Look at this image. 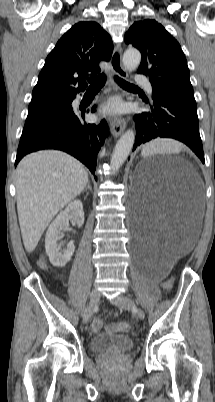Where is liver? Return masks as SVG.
Returning <instances> with one entry per match:
<instances>
[{"instance_id": "6515ba94", "label": "liver", "mask_w": 215, "mask_h": 402, "mask_svg": "<svg viewBox=\"0 0 215 402\" xmlns=\"http://www.w3.org/2000/svg\"><path fill=\"white\" fill-rule=\"evenodd\" d=\"M87 182L83 164L61 151H38L19 162L17 212L26 251L36 248L54 216L85 189Z\"/></svg>"}]
</instances>
